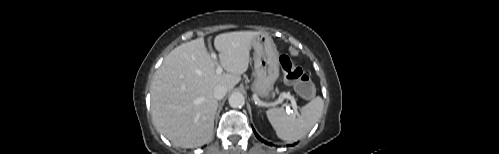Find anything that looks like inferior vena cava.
<instances>
[{
    "label": "inferior vena cava",
    "instance_id": "1",
    "mask_svg": "<svg viewBox=\"0 0 499 154\" xmlns=\"http://www.w3.org/2000/svg\"><path fill=\"white\" fill-rule=\"evenodd\" d=\"M226 93H227V87L226 86L218 84V85H216L214 87L213 95H214V97L217 100H220V99L224 98V96L226 95Z\"/></svg>",
    "mask_w": 499,
    "mask_h": 154
}]
</instances>
